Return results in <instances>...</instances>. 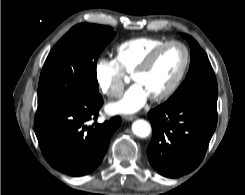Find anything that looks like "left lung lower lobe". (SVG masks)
Wrapping results in <instances>:
<instances>
[{
	"label": "left lung lower lobe",
	"instance_id": "left-lung-lower-lobe-1",
	"mask_svg": "<svg viewBox=\"0 0 245 195\" xmlns=\"http://www.w3.org/2000/svg\"><path fill=\"white\" fill-rule=\"evenodd\" d=\"M153 136L147 148L161 175L180 177L202 161L217 124V105L165 102L148 113Z\"/></svg>",
	"mask_w": 245,
	"mask_h": 195
}]
</instances>
